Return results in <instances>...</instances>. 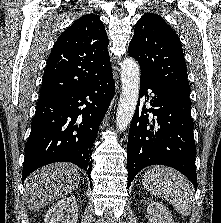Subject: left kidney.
Returning <instances> with one entry per match:
<instances>
[{
    "label": "left kidney",
    "instance_id": "1",
    "mask_svg": "<svg viewBox=\"0 0 221 223\" xmlns=\"http://www.w3.org/2000/svg\"><path fill=\"white\" fill-rule=\"evenodd\" d=\"M148 223H174L170 212L163 204L157 201H152L147 207Z\"/></svg>",
    "mask_w": 221,
    "mask_h": 223
}]
</instances>
